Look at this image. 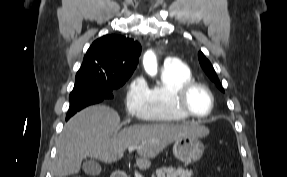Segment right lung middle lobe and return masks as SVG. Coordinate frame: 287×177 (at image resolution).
<instances>
[{
  "instance_id": "1",
  "label": "right lung middle lobe",
  "mask_w": 287,
  "mask_h": 177,
  "mask_svg": "<svg viewBox=\"0 0 287 177\" xmlns=\"http://www.w3.org/2000/svg\"><path fill=\"white\" fill-rule=\"evenodd\" d=\"M128 79H121L114 83H104L95 74L80 70L76 74L75 85L69 100L83 97H96L101 100L113 98V90L121 87Z\"/></svg>"
}]
</instances>
